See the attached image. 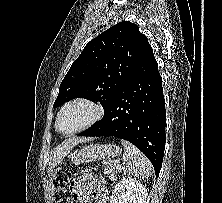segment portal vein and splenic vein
I'll return each instance as SVG.
<instances>
[{"label":"portal vein and splenic vein","mask_w":222,"mask_h":203,"mask_svg":"<svg viewBox=\"0 0 222 203\" xmlns=\"http://www.w3.org/2000/svg\"><path fill=\"white\" fill-rule=\"evenodd\" d=\"M116 164L118 165V168H119V169H122V167H121V165H120L119 162H116Z\"/></svg>","instance_id":"1"}]
</instances>
